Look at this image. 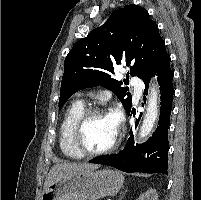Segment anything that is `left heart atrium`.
<instances>
[{
    "label": "left heart atrium",
    "mask_w": 201,
    "mask_h": 200,
    "mask_svg": "<svg viewBox=\"0 0 201 200\" xmlns=\"http://www.w3.org/2000/svg\"><path fill=\"white\" fill-rule=\"evenodd\" d=\"M109 116H110L111 120L113 121L114 126H115V128H116V130L118 132L119 127H120V123H121V115H120V113L117 110H115L111 114H109Z\"/></svg>",
    "instance_id": "obj_1"
}]
</instances>
